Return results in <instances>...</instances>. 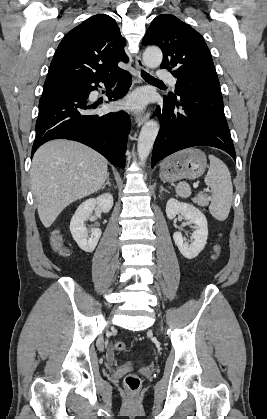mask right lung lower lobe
Masks as SVG:
<instances>
[{"label": "right lung lower lobe", "instance_id": "right-lung-lower-lobe-1", "mask_svg": "<svg viewBox=\"0 0 267 419\" xmlns=\"http://www.w3.org/2000/svg\"><path fill=\"white\" fill-rule=\"evenodd\" d=\"M117 78L115 91L107 94L112 101L121 98L132 83L131 75L124 70L102 79L44 84L32 156L47 141L69 139L95 149L113 165L124 168L131 126L128 114L121 111L99 116L91 113L96 106L88 104L90 92L97 90L100 82L110 86Z\"/></svg>", "mask_w": 267, "mask_h": 419}]
</instances>
